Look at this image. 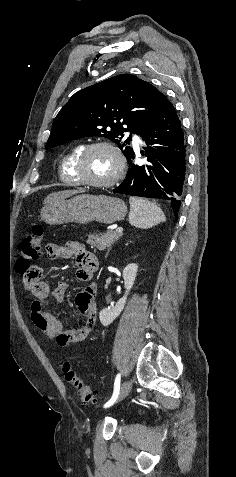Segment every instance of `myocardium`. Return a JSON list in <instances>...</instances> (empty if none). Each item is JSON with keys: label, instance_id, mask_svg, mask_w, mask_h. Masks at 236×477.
Segmentation results:
<instances>
[{"label": "myocardium", "instance_id": "myocardium-1", "mask_svg": "<svg viewBox=\"0 0 236 477\" xmlns=\"http://www.w3.org/2000/svg\"><path fill=\"white\" fill-rule=\"evenodd\" d=\"M95 148H106L113 153L117 161V169L113 177L105 181H93L86 179L82 174V166L87 154ZM125 159L121 151L113 144L105 141H96L86 145L77 155L74 163V172L80 184L95 188H108L115 185L124 175Z\"/></svg>", "mask_w": 236, "mask_h": 477}]
</instances>
